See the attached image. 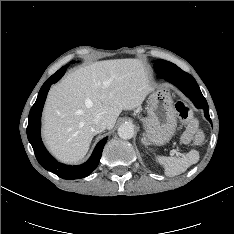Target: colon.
<instances>
[{
    "label": "colon",
    "instance_id": "1",
    "mask_svg": "<svg viewBox=\"0 0 234 234\" xmlns=\"http://www.w3.org/2000/svg\"><path fill=\"white\" fill-rule=\"evenodd\" d=\"M175 108L182 123L187 127V129L192 130L194 134V144L196 146H201L205 142V136L198 129L197 120L193 116L192 109L190 108V106L186 102L178 100L175 104Z\"/></svg>",
    "mask_w": 234,
    "mask_h": 234
}]
</instances>
